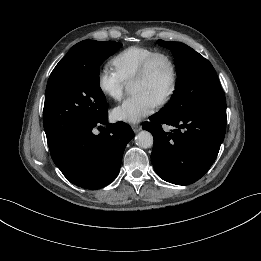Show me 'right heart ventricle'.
<instances>
[{"instance_id":"right-heart-ventricle-1","label":"right heart ventricle","mask_w":261,"mask_h":261,"mask_svg":"<svg viewBox=\"0 0 261 261\" xmlns=\"http://www.w3.org/2000/svg\"><path fill=\"white\" fill-rule=\"evenodd\" d=\"M157 50L144 46H130L116 54L110 61L114 71L124 82L134 79L143 63Z\"/></svg>"}]
</instances>
